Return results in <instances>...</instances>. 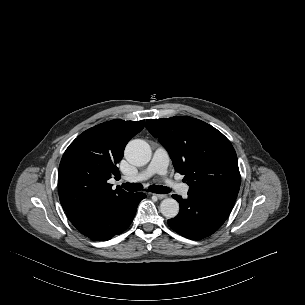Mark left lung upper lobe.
Here are the masks:
<instances>
[{"mask_svg": "<svg viewBox=\"0 0 305 305\" xmlns=\"http://www.w3.org/2000/svg\"><path fill=\"white\" fill-rule=\"evenodd\" d=\"M147 130L168 151L189 191H239L241 176L230 141L211 125L192 117L148 119Z\"/></svg>", "mask_w": 305, "mask_h": 305, "instance_id": "left-lung-upper-lobe-1", "label": "left lung upper lobe"}]
</instances>
